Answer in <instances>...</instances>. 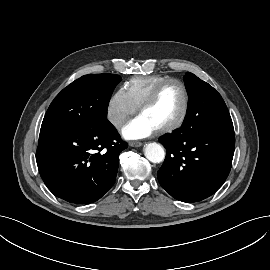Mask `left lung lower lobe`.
Returning <instances> with one entry per match:
<instances>
[{"mask_svg": "<svg viewBox=\"0 0 270 270\" xmlns=\"http://www.w3.org/2000/svg\"><path fill=\"white\" fill-rule=\"evenodd\" d=\"M167 150L158 171L160 185L175 199L197 202L225 182L234 155V129H202L188 125L162 136Z\"/></svg>", "mask_w": 270, "mask_h": 270, "instance_id": "0a47b994", "label": "left lung lower lobe"}]
</instances>
